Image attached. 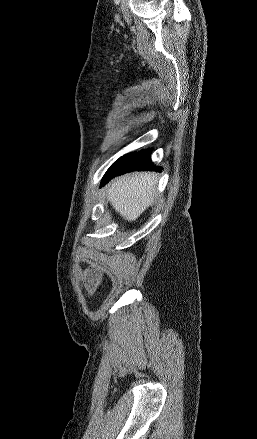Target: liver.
I'll return each instance as SVG.
<instances>
[{
	"label": "liver",
	"instance_id": "obj_1",
	"mask_svg": "<svg viewBox=\"0 0 257 439\" xmlns=\"http://www.w3.org/2000/svg\"><path fill=\"white\" fill-rule=\"evenodd\" d=\"M156 181L150 172L121 176L110 184L108 199L124 219L134 221L154 202Z\"/></svg>",
	"mask_w": 257,
	"mask_h": 439
}]
</instances>
